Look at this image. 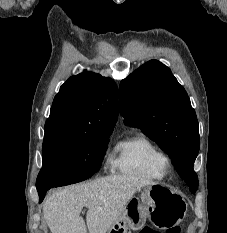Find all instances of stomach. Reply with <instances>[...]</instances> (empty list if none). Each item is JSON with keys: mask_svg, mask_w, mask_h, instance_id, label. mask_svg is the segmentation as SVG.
<instances>
[{"mask_svg": "<svg viewBox=\"0 0 227 233\" xmlns=\"http://www.w3.org/2000/svg\"><path fill=\"white\" fill-rule=\"evenodd\" d=\"M187 212V203L178 192L163 184L146 186L140 197L132 198L107 233H127L142 228L147 218L157 227L171 229Z\"/></svg>", "mask_w": 227, "mask_h": 233, "instance_id": "1", "label": "stomach"}]
</instances>
